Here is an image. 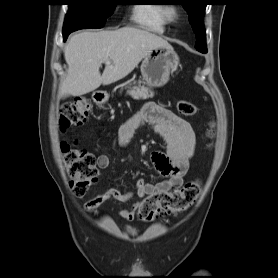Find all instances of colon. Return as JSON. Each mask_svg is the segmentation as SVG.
Returning a JSON list of instances; mask_svg holds the SVG:
<instances>
[{
  "mask_svg": "<svg viewBox=\"0 0 278 278\" xmlns=\"http://www.w3.org/2000/svg\"><path fill=\"white\" fill-rule=\"evenodd\" d=\"M91 104L86 98H78L60 107L58 120L62 130L83 125L89 115ZM178 112L184 116H194L198 112L197 106L188 101L180 100L177 104ZM209 136L214 137V123L210 124ZM64 164L70 178L72 192L83 197L96 183L98 169L95 156L72 143L63 142L61 145ZM201 192L198 181L186 183L181 189L169 192H156L147 196L139 206V217L149 222L161 215L178 213L187 210L194 204Z\"/></svg>",
  "mask_w": 278,
  "mask_h": 278,
  "instance_id": "obj_1",
  "label": "colon"
}]
</instances>
